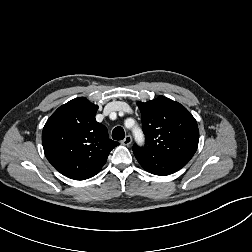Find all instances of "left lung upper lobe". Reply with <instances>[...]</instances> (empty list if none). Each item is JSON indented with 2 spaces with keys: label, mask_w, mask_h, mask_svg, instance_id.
Here are the masks:
<instances>
[{
  "label": "left lung upper lobe",
  "mask_w": 252,
  "mask_h": 252,
  "mask_svg": "<svg viewBox=\"0 0 252 252\" xmlns=\"http://www.w3.org/2000/svg\"><path fill=\"white\" fill-rule=\"evenodd\" d=\"M142 114L144 147L133 146L136 158L175 157L190 160L198 147L199 130L195 118L180 103L159 96L138 102Z\"/></svg>",
  "instance_id": "obj_1"
}]
</instances>
